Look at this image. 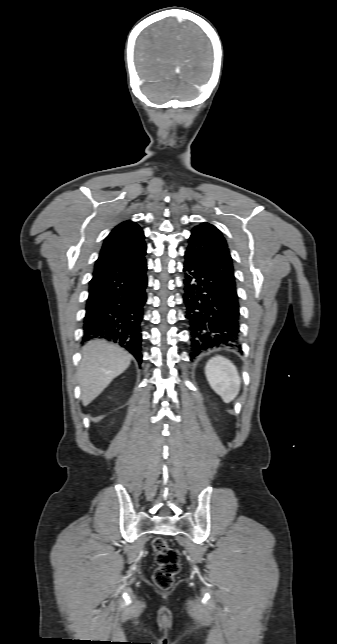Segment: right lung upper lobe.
<instances>
[{"instance_id":"right-lung-upper-lobe-1","label":"right lung upper lobe","mask_w":337,"mask_h":644,"mask_svg":"<svg viewBox=\"0 0 337 644\" xmlns=\"http://www.w3.org/2000/svg\"><path fill=\"white\" fill-rule=\"evenodd\" d=\"M146 244L142 228L130 220L116 226L104 240L93 274L142 259Z\"/></svg>"}]
</instances>
